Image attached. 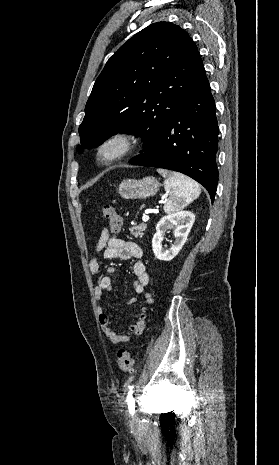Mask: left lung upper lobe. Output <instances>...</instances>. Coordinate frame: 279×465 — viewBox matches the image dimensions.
Segmentation results:
<instances>
[{"instance_id":"5c2ea615","label":"left lung upper lobe","mask_w":279,"mask_h":465,"mask_svg":"<svg viewBox=\"0 0 279 465\" xmlns=\"http://www.w3.org/2000/svg\"><path fill=\"white\" fill-rule=\"evenodd\" d=\"M201 64L194 41L177 25L158 22L135 34L93 86L78 150L121 132L139 134L146 151L180 110Z\"/></svg>"}]
</instances>
